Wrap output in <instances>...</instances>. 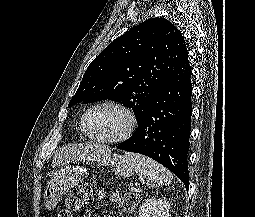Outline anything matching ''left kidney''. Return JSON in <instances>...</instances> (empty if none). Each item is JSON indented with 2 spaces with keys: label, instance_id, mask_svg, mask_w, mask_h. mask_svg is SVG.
<instances>
[{
  "label": "left kidney",
  "instance_id": "left-kidney-1",
  "mask_svg": "<svg viewBox=\"0 0 255 217\" xmlns=\"http://www.w3.org/2000/svg\"><path fill=\"white\" fill-rule=\"evenodd\" d=\"M168 202L155 198L145 200L139 208L138 217H169Z\"/></svg>",
  "mask_w": 255,
  "mask_h": 217
}]
</instances>
